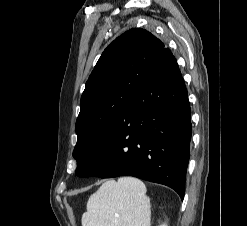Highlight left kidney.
<instances>
[{
	"mask_svg": "<svg viewBox=\"0 0 247 226\" xmlns=\"http://www.w3.org/2000/svg\"><path fill=\"white\" fill-rule=\"evenodd\" d=\"M160 226H167V224H162V225H160Z\"/></svg>",
	"mask_w": 247,
	"mask_h": 226,
	"instance_id": "obj_1",
	"label": "left kidney"
}]
</instances>
